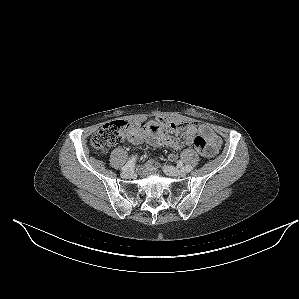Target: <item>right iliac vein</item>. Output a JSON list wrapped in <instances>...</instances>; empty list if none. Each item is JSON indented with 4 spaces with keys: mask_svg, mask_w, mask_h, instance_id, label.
Returning a JSON list of instances; mask_svg holds the SVG:
<instances>
[{
    "mask_svg": "<svg viewBox=\"0 0 299 299\" xmlns=\"http://www.w3.org/2000/svg\"><path fill=\"white\" fill-rule=\"evenodd\" d=\"M121 176L123 178H130V177H132V173L130 171H124V172H122Z\"/></svg>",
    "mask_w": 299,
    "mask_h": 299,
    "instance_id": "1",
    "label": "right iliac vein"
}]
</instances>
